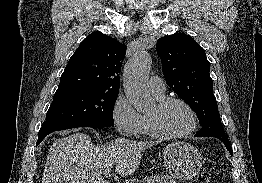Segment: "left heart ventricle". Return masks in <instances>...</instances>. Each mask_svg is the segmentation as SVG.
I'll use <instances>...</instances> for the list:
<instances>
[{"label": "left heart ventricle", "instance_id": "b2bd125f", "mask_svg": "<svg viewBox=\"0 0 262 183\" xmlns=\"http://www.w3.org/2000/svg\"><path fill=\"white\" fill-rule=\"evenodd\" d=\"M156 118L159 128L167 134H179L187 131L192 125L190 112L181 104L173 103L161 112L156 105L148 112Z\"/></svg>", "mask_w": 262, "mask_h": 183}]
</instances>
